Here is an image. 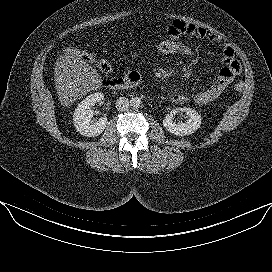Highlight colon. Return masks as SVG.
Returning <instances> with one entry per match:
<instances>
[{
	"mask_svg": "<svg viewBox=\"0 0 272 272\" xmlns=\"http://www.w3.org/2000/svg\"><path fill=\"white\" fill-rule=\"evenodd\" d=\"M151 50L159 56L166 58H180L187 56L191 53V48L188 43L181 39L163 38L154 42ZM65 55L69 58L79 59L81 61L91 62L103 73H108L111 66L108 61L104 59H97L92 53L78 48H68L64 51ZM235 89L241 92L244 89V83L238 82Z\"/></svg>",
	"mask_w": 272,
	"mask_h": 272,
	"instance_id": "5ec220e1",
	"label": "colon"
}]
</instances>
